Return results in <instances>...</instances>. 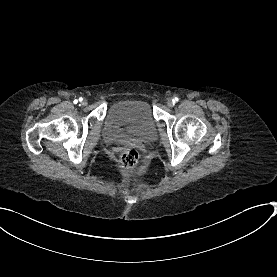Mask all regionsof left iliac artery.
<instances>
[{"label": "left iliac artery", "instance_id": "left-iliac-artery-1", "mask_svg": "<svg viewBox=\"0 0 277 277\" xmlns=\"http://www.w3.org/2000/svg\"><path fill=\"white\" fill-rule=\"evenodd\" d=\"M178 100H179V99H178L177 97H175V98L173 99L174 102H178Z\"/></svg>", "mask_w": 277, "mask_h": 277}]
</instances>
